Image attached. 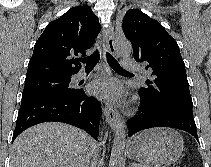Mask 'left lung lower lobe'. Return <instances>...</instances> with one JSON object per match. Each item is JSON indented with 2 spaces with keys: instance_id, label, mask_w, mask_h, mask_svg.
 Returning a JSON list of instances; mask_svg holds the SVG:
<instances>
[{
  "instance_id": "left-lung-lower-lobe-1",
  "label": "left lung lower lobe",
  "mask_w": 211,
  "mask_h": 167,
  "mask_svg": "<svg viewBox=\"0 0 211 167\" xmlns=\"http://www.w3.org/2000/svg\"><path fill=\"white\" fill-rule=\"evenodd\" d=\"M143 113L127 121L128 135L151 128L171 127L184 130L198 140L193 113L178 107H153L143 98L140 101Z\"/></svg>"
}]
</instances>
